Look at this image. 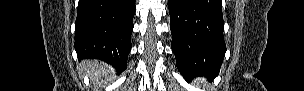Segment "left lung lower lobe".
Instances as JSON below:
<instances>
[{
    "mask_svg": "<svg viewBox=\"0 0 304 91\" xmlns=\"http://www.w3.org/2000/svg\"><path fill=\"white\" fill-rule=\"evenodd\" d=\"M172 51L186 80L219 74L226 52L221 0H169Z\"/></svg>",
    "mask_w": 304,
    "mask_h": 91,
    "instance_id": "1",
    "label": "left lung lower lobe"
}]
</instances>
